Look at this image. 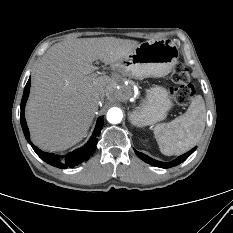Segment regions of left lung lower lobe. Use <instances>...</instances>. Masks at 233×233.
<instances>
[{"mask_svg":"<svg viewBox=\"0 0 233 233\" xmlns=\"http://www.w3.org/2000/svg\"><path fill=\"white\" fill-rule=\"evenodd\" d=\"M195 150H196V147H194L189 152L179 156L175 160H173L171 162H168V163H164V162H161V161L154 160V159L148 157L147 155H145V154H143L141 152H138L136 150H134V151L143 161H145L146 163H148L150 165H153L155 167H160V168H171V167L179 165L180 163L185 161Z\"/></svg>","mask_w":233,"mask_h":233,"instance_id":"obj_1","label":"left lung lower lobe"}]
</instances>
